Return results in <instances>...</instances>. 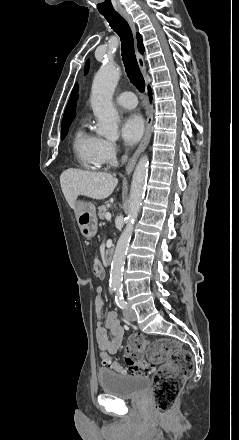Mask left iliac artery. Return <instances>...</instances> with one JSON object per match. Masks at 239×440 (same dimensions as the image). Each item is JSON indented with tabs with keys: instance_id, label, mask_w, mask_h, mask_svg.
I'll use <instances>...</instances> for the list:
<instances>
[{
	"instance_id": "1",
	"label": "left iliac artery",
	"mask_w": 239,
	"mask_h": 440,
	"mask_svg": "<svg viewBox=\"0 0 239 440\" xmlns=\"http://www.w3.org/2000/svg\"><path fill=\"white\" fill-rule=\"evenodd\" d=\"M115 301L116 304L121 308L124 309L127 306V303L125 302L124 298H123V293L121 289H117L116 291V295H115Z\"/></svg>"
}]
</instances>
